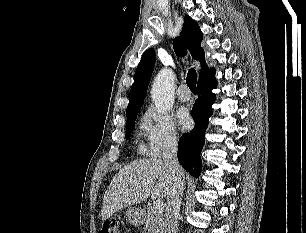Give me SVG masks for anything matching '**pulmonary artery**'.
I'll return each instance as SVG.
<instances>
[{"label": "pulmonary artery", "instance_id": "obj_1", "mask_svg": "<svg viewBox=\"0 0 306 233\" xmlns=\"http://www.w3.org/2000/svg\"><path fill=\"white\" fill-rule=\"evenodd\" d=\"M177 97L182 102H187L191 99V94L186 85H181L177 91Z\"/></svg>", "mask_w": 306, "mask_h": 233}]
</instances>
